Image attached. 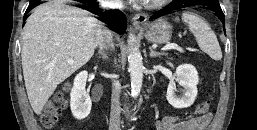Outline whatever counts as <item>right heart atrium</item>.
<instances>
[{
	"mask_svg": "<svg viewBox=\"0 0 257 130\" xmlns=\"http://www.w3.org/2000/svg\"><path fill=\"white\" fill-rule=\"evenodd\" d=\"M109 2H110L111 4H116V3L119 2V0H109Z\"/></svg>",
	"mask_w": 257,
	"mask_h": 130,
	"instance_id": "obj_1",
	"label": "right heart atrium"
}]
</instances>
